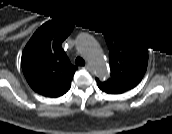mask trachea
<instances>
[{"label": "trachea", "instance_id": "trachea-1", "mask_svg": "<svg viewBox=\"0 0 172 134\" xmlns=\"http://www.w3.org/2000/svg\"><path fill=\"white\" fill-rule=\"evenodd\" d=\"M75 63L76 65H85V61L81 57H77Z\"/></svg>", "mask_w": 172, "mask_h": 134}]
</instances>
